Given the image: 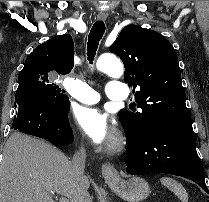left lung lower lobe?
<instances>
[{
  "label": "left lung lower lobe",
  "instance_id": "obj_1",
  "mask_svg": "<svg viewBox=\"0 0 209 202\" xmlns=\"http://www.w3.org/2000/svg\"><path fill=\"white\" fill-rule=\"evenodd\" d=\"M126 134V133H125ZM127 173H167L196 182L209 193L202 162L196 152L191 121L159 120L146 136L126 134Z\"/></svg>",
  "mask_w": 209,
  "mask_h": 202
}]
</instances>
